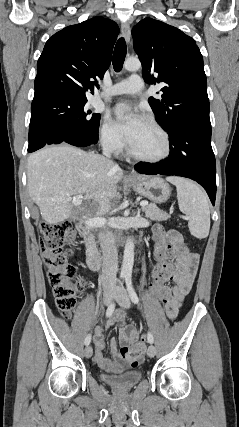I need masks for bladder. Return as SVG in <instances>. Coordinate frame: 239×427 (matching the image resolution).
Instances as JSON below:
<instances>
[{
    "label": "bladder",
    "mask_w": 239,
    "mask_h": 427,
    "mask_svg": "<svg viewBox=\"0 0 239 427\" xmlns=\"http://www.w3.org/2000/svg\"><path fill=\"white\" fill-rule=\"evenodd\" d=\"M101 380L116 389L125 390L132 388L142 379L140 370H125L116 374H101Z\"/></svg>",
    "instance_id": "1"
}]
</instances>
